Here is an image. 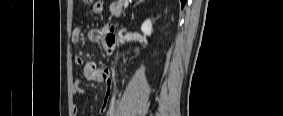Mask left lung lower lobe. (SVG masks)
Listing matches in <instances>:
<instances>
[{"label": "left lung lower lobe", "mask_w": 283, "mask_h": 116, "mask_svg": "<svg viewBox=\"0 0 283 116\" xmlns=\"http://www.w3.org/2000/svg\"><path fill=\"white\" fill-rule=\"evenodd\" d=\"M186 0H181L182 7L185 5Z\"/></svg>", "instance_id": "0a47b994"}]
</instances>
